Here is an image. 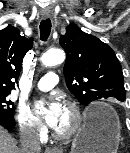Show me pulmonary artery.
<instances>
[{
  "mask_svg": "<svg viewBox=\"0 0 130 153\" xmlns=\"http://www.w3.org/2000/svg\"><path fill=\"white\" fill-rule=\"evenodd\" d=\"M58 83V76L53 72L45 74L37 83V89L40 91H48Z\"/></svg>",
  "mask_w": 130,
  "mask_h": 153,
  "instance_id": "1",
  "label": "pulmonary artery"
}]
</instances>
